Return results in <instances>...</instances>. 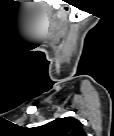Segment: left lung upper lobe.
<instances>
[{"label":"left lung upper lobe","instance_id":"1","mask_svg":"<svg viewBox=\"0 0 114 136\" xmlns=\"http://www.w3.org/2000/svg\"><path fill=\"white\" fill-rule=\"evenodd\" d=\"M38 136H84L82 123L73 117L55 119L34 128Z\"/></svg>","mask_w":114,"mask_h":136}]
</instances>
